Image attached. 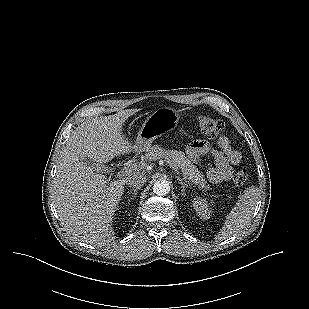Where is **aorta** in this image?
<instances>
[{
  "mask_svg": "<svg viewBox=\"0 0 309 309\" xmlns=\"http://www.w3.org/2000/svg\"><path fill=\"white\" fill-rule=\"evenodd\" d=\"M153 191L157 195H166L170 191V185L168 181L158 180L154 183Z\"/></svg>",
  "mask_w": 309,
  "mask_h": 309,
  "instance_id": "1",
  "label": "aorta"
}]
</instances>
